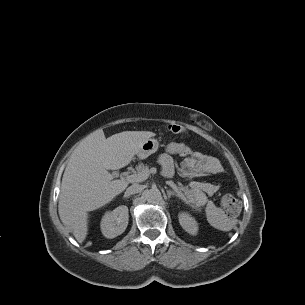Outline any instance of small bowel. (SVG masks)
Returning <instances> with one entry per match:
<instances>
[{
  "mask_svg": "<svg viewBox=\"0 0 305 305\" xmlns=\"http://www.w3.org/2000/svg\"><path fill=\"white\" fill-rule=\"evenodd\" d=\"M173 155L193 157L204 172L217 173L220 171V164L215 158L192 151L185 143H170L166 151L158 158L165 177H171L174 174Z\"/></svg>",
  "mask_w": 305,
  "mask_h": 305,
  "instance_id": "c3829d8e",
  "label": "small bowel"
}]
</instances>
